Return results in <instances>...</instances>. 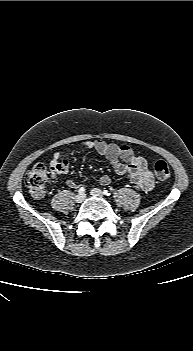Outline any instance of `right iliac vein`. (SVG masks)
<instances>
[{
  "label": "right iliac vein",
  "mask_w": 193,
  "mask_h": 351,
  "mask_svg": "<svg viewBox=\"0 0 193 351\" xmlns=\"http://www.w3.org/2000/svg\"><path fill=\"white\" fill-rule=\"evenodd\" d=\"M85 200V194H78L75 197V201L76 203H82Z\"/></svg>",
  "instance_id": "1"
}]
</instances>
